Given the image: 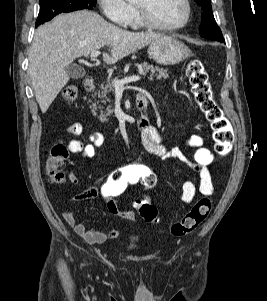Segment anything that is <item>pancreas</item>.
I'll list each match as a JSON object with an SVG mask.
<instances>
[{"instance_id":"1","label":"pancreas","mask_w":267,"mask_h":301,"mask_svg":"<svg viewBox=\"0 0 267 301\" xmlns=\"http://www.w3.org/2000/svg\"><path fill=\"white\" fill-rule=\"evenodd\" d=\"M138 70L141 74L146 75L150 72V80H152L153 76H156L157 79L167 78L168 70L164 68H160L158 66H153L148 64L147 62H143L141 64H137ZM100 90L94 93V96H98V100L92 103V112L96 115V111L100 109L99 120L101 122L108 121V118L112 113L113 109L110 105H107L105 109L98 106L100 103L106 105V101H108V94L114 92L113 82L102 83L100 86Z\"/></svg>"}]
</instances>
